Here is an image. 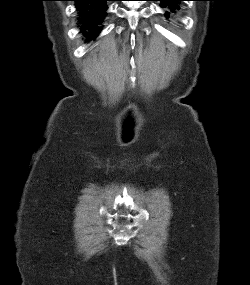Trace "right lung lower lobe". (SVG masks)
<instances>
[{"label": "right lung lower lobe", "instance_id": "right-lung-lower-lobe-1", "mask_svg": "<svg viewBox=\"0 0 250 285\" xmlns=\"http://www.w3.org/2000/svg\"><path fill=\"white\" fill-rule=\"evenodd\" d=\"M76 1V8L79 12L80 29L87 39H94L101 31L106 10V2L110 0H72Z\"/></svg>", "mask_w": 250, "mask_h": 285}]
</instances>
